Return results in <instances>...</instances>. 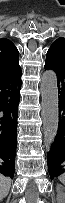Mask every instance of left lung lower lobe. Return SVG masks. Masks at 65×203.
<instances>
[{
    "label": "left lung lower lobe",
    "mask_w": 65,
    "mask_h": 203,
    "mask_svg": "<svg viewBox=\"0 0 65 203\" xmlns=\"http://www.w3.org/2000/svg\"><path fill=\"white\" fill-rule=\"evenodd\" d=\"M45 69L57 75L59 96V125L53 146L47 154L50 178L65 174V48L51 46L47 52Z\"/></svg>",
    "instance_id": "1"
}]
</instances>
